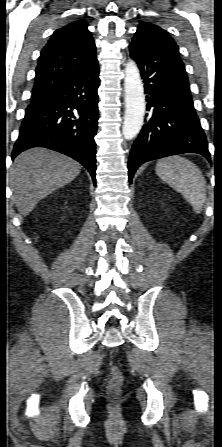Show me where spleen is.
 Listing matches in <instances>:
<instances>
[{
    "label": "spleen",
    "instance_id": "obj_1",
    "mask_svg": "<svg viewBox=\"0 0 222 447\" xmlns=\"http://www.w3.org/2000/svg\"><path fill=\"white\" fill-rule=\"evenodd\" d=\"M155 170L163 181L183 195L196 213L201 212L206 200V182L195 164L174 155L159 160Z\"/></svg>",
    "mask_w": 222,
    "mask_h": 447
}]
</instances>
